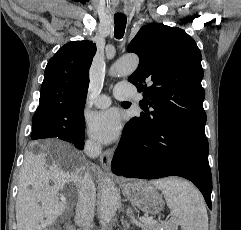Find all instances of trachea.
<instances>
[{
	"mask_svg": "<svg viewBox=\"0 0 241 230\" xmlns=\"http://www.w3.org/2000/svg\"><path fill=\"white\" fill-rule=\"evenodd\" d=\"M114 23H115L114 36L117 39H121L125 32L127 18L124 14H115Z\"/></svg>",
	"mask_w": 241,
	"mask_h": 230,
	"instance_id": "3493384b",
	"label": "trachea"
}]
</instances>
